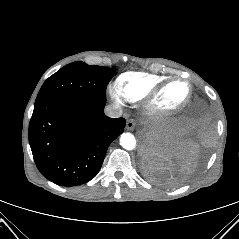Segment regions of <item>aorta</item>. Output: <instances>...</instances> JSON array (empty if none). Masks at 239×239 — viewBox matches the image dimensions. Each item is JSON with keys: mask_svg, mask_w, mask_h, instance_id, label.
Segmentation results:
<instances>
[{"mask_svg": "<svg viewBox=\"0 0 239 239\" xmlns=\"http://www.w3.org/2000/svg\"><path fill=\"white\" fill-rule=\"evenodd\" d=\"M120 145L125 150H134L136 148V139L131 133H123L120 136Z\"/></svg>", "mask_w": 239, "mask_h": 239, "instance_id": "aorta-1", "label": "aorta"}]
</instances>
